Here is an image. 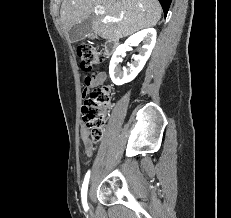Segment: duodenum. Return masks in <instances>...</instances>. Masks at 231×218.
<instances>
[{
	"label": "duodenum",
	"instance_id": "410a0bca",
	"mask_svg": "<svg viewBox=\"0 0 231 218\" xmlns=\"http://www.w3.org/2000/svg\"><path fill=\"white\" fill-rule=\"evenodd\" d=\"M117 47V41L115 39H109L107 40L105 44L106 51L108 53H113Z\"/></svg>",
	"mask_w": 231,
	"mask_h": 218
}]
</instances>
